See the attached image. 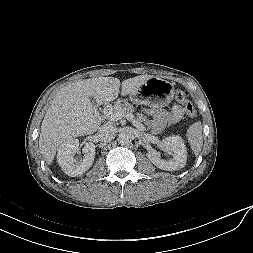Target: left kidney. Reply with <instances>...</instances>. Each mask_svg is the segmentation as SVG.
<instances>
[{
    "mask_svg": "<svg viewBox=\"0 0 253 253\" xmlns=\"http://www.w3.org/2000/svg\"><path fill=\"white\" fill-rule=\"evenodd\" d=\"M161 144L164 148L172 151L173 158L163 160L157 152L149 151L147 157L157 168L166 171H175L185 167L187 151L183 139L180 136H169Z\"/></svg>",
    "mask_w": 253,
    "mask_h": 253,
    "instance_id": "5707ae66",
    "label": "left kidney"
}]
</instances>
